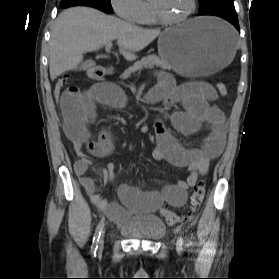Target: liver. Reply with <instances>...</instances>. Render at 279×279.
I'll use <instances>...</instances> for the list:
<instances>
[{"label": "liver", "instance_id": "obj_1", "mask_svg": "<svg viewBox=\"0 0 279 279\" xmlns=\"http://www.w3.org/2000/svg\"><path fill=\"white\" fill-rule=\"evenodd\" d=\"M159 29H143L89 7H72L56 19L49 42L51 80L75 69L83 54L117 40L120 53L128 61L148 46Z\"/></svg>", "mask_w": 279, "mask_h": 279}]
</instances>
